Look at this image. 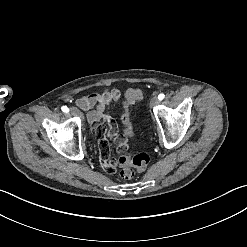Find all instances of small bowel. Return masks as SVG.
Segmentation results:
<instances>
[{
    "label": "small bowel",
    "mask_w": 247,
    "mask_h": 247,
    "mask_svg": "<svg viewBox=\"0 0 247 247\" xmlns=\"http://www.w3.org/2000/svg\"><path fill=\"white\" fill-rule=\"evenodd\" d=\"M120 97V90L112 89L111 91L102 94L85 95L78 99L77 106L83 111H89L87 120L89 123L93 124L94 129L99 136H104L107 133L110 138H115V142L118 144V150L121 153H126L129 150V142L123 134H118L116 116L114 114L108 115L107 117L104 115L108 106L112 102L118 101ZM104 121H107L110 125L108 129L105 127ZM96 148L99 151L103 171L106 174H111L114 171V166L109 146L104 140H99L96 143Z\"/></svg>",
    "instance_id": "obj_1"
}]
</instances>
